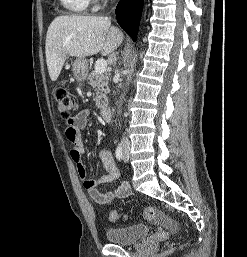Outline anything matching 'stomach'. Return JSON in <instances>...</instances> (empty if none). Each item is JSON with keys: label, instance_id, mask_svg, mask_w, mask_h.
<instances>
[{"label": "stomach", "instance_id": "obj_1", "mask_svg": "<svg viewBox=\"0 0 247 257\" xmlns=\"http://www.w3.org/2000/svg\"><path fill=\"white\" fill-rule=\"evenodd\" d=\"M72 71L74 77L78 81H83L87 77L88 73V62L84 58H77L72 62Z\"/></svg>", "mask_w": 247, "mask_h": 257}]
</instances>
